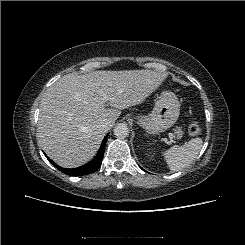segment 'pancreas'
<instances>
[{"mask_svg":"<svg viewBox=\"0 0 245 245\" xmlns=\"http://www.w3.org/2000/svg\"><path fill=\"white\" fill-rule=\"evenodd\" d=\"M176 133H177V137H178V138H181L182 135H183V131H182L180 128H177V129H176Z\"/></svg>","mask_w":245,"mask_h":245,"instance_id":"pancreas-1","label":"pancreas"}]
</instances>
